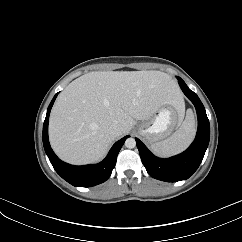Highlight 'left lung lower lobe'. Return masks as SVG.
Returning a JSON list of instances; mask_svg holds the SVG:
<instances>
[{"label": "left lung lower lobe", "mask_w": 242, "mask_h": 242, "mask_svg": "<svg viewBox=\"0 0 242 242\" xmlns=\"http://www.w3.org/2000/svg\"><path fill=\"white\" fill-rule=\"evenodd\" d=\"M177 79L182 91L192 101L197 111L198 130L193 143L183 153L168 159H161L154 156L136 138L139 154L147 172L153 178L166 182H177L188 179L202 162L210 139V124L202 102L180 77H177Z\"/></svg>", "instance_id": "0a47b994"}]
</instances>
